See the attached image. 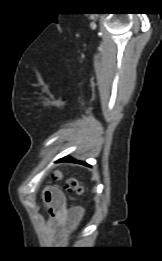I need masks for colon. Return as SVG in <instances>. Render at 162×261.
<instances>
[{"instance_id":"obj_1","label":"colon","mask_w":162,"mask_h":261,"mask_svg":"<svg viewBox=\"0 0 162 261\" xmlns=\"http://www.w3.org/2000/svg\"><path fill=\"white\" fill-rule=\"evenodd\" d=\"M55 177L59 178L60 175L57 173ZM66 190L69 192L81 193L83 189L80 183L76 179L71 178L66 182Z\"/></svg>"}]
</instances>
